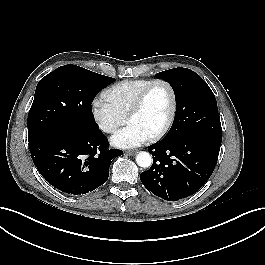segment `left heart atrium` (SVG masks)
Segmentation results:
<instances>
[{
  "label": "left heart atrium",
  "instance_id": "obj_1",
  "mask_svg": "<svg viewBox=\"0 0 265 265\" xmlns=\"http://www.w3.org/2000/svg\"><path fill=\"white\" fill-rule=\"evenodd\" d=\"M149 139L148 133L137 125L130 123L111 138V143L118 148H134L142 145Z\"/></svg>",
  "mask_w": 265,
  "mask_h": 265
}]
</instances>
